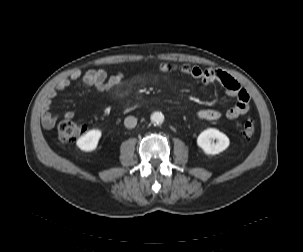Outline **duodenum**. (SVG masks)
<instances>
[{
  "label": "duodenum",
  "instance_id": "410a0bca",
  "mask_svg": "<svg viewBox=\"0 0 303 252\" xmlns=\"http://www.w3.org/2000/svg\"><path fill=\"white\" fill-rule=\"evenodd\" d=\"M130 106H126V107H124L123 109H122V112H128L129 110H130Z\"/></svg>",
  "mask_w": 303,
  "mask_h": 252
}]
</instances>
